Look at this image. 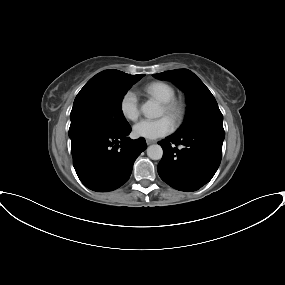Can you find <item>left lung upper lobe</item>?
<instances>
[{
    "instance_id": "obj_1",
    "label": "left lung upper lobe",
    "mask_w": 285,
    "mask_h": 285,
    "mask_svg": "<svg viewBox=\"0 0 285 285\" xmlns=\"http://www.w3.org/2000/svg\"><path fill=\"white\" fill-rule=\"evenodd\" d=\"M158 79L172 81L186 93V118L177 134H188L198 128L213 126L223 129V115L203 82L190 70L179 69L153 74Z\"/></svg>"
}]
</instances>
